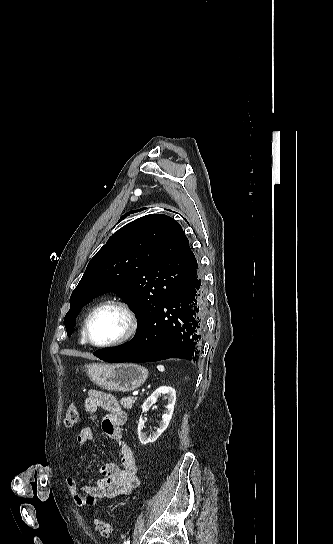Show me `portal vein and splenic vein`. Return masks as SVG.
<instances>
[{
	"label": "portal vein and splenic vein",
	"instance_id": "portal-vein-and-splenic-vein-1",
	"mask_svg": "<svg viewBox=\"0 0 333 544\" xmlns=\"http://www.w3.org/2000/svg\"><path fill=\"white\" fill-rule=\"evenodd\" d=\"M133 395H134V396L138 395V391H135V392L133 393Z\"/></svg>",
	"mask_w": 333,
	"mask_h": 544
}]
</instances>
